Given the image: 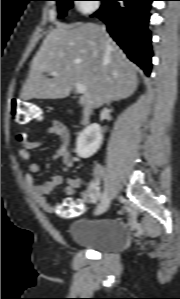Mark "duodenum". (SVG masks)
Segmentation results:
<instances>
[{"label":"duodenum","mask_w":180,"mask_h":299,"mask_svg":"<svg viewBox=\"0 0 180 299\" xmlns=\"http://www.w3.org/2000/svg\"><path fill=\"white\" fill-rule=\"evenodd\" d=\"M91 115H92L91 108L89 106H85L84 109L82 110V115H81L82 125L86 126L89 124Z\"/></svg>","instance_id":"410a0bca"}]
</instances>
